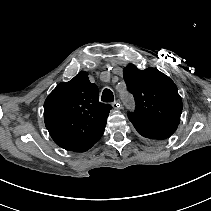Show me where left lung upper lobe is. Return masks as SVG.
Here are the masks:
<instances>
[{
	"mask_svg": "<svg viewBox=\"0 0 211 211\" xmlns=\"http://www.w3.org/2000/svg\"><path fill=\"white\" fill-rule=\"evenodd\" d=\"M127 89L134 96L136 108L128 118L138 133L149 142L169 138L177 129L182 113V99L175 83L156 68H124Z\"/></svg>",
	"mask_w": 211,
	"mask_h": 211,
	"instance_id": "1",
	"label": "left lung upper lobe"
}]
</instances>
